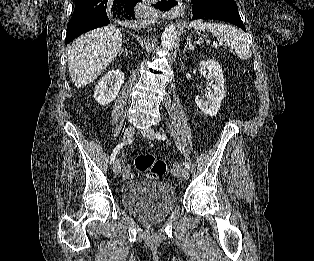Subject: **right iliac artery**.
<instances>
[{"label":"right iliac artery","instance_id":"right-iliac-artery-1","mask_svg":"<svg viewBox=\"0 0 314 261\" xmlns=\"http://www.w3.org/2000/svg\"><path fill=\"white\" fill-rule=\"evenodd\" d=\"M128 142L130 143L131 140H128ZM125 144H127V141H126V142H123V143H121V144H118V145L114 148V150H113V152H112V154H111V157H110V163H111V164L114 163V160H115V157H116L118 151H119Z\"/></svg>","mask_w":314,"mask_h":261}]
</instances>
